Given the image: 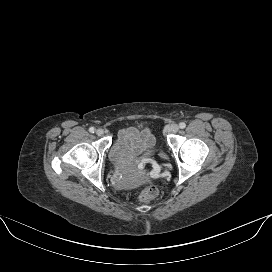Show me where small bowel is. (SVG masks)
I'll use <instances>...</instances> for the list:
<instances>
[{
  "instance_id": "c3829d8e",
  "label": "small bowel",
  "mask_w": 272,
  "mask_h": 272,
  "mask_svg": "<svg viewBox=\"0 0 272 272\" xmlns=\"http://www.w3.org/2000/svg\"><path fill=\"white\" fill-rule=\"evenodd\" d=\"M154 145V137L148 128L126 127L120 130L113 145L118 153L147 154Z\"/></svg>"
}]
</instances>
